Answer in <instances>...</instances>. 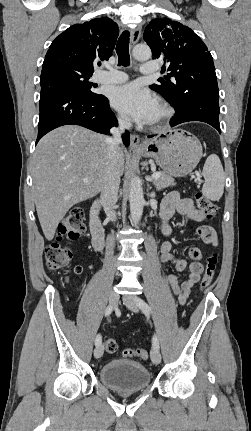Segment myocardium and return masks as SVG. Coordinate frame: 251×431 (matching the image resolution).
Here are the masks:
<instances>
[{
	"instance_id": "myocardium-1",
	"label": "myocardium",
	"mask_w": 251,
	"mask_h": 431,
	"mask_svg": "<svg viewBox=\"0 0 251 431\" xmlns=\"http://www.w3.org/2000/svg\"><path fill=\"white\" fill-rule=\"evenodd\" d=\"M174 110L167 103L161 102L158 105L157 116L149 122L151 130H160L164 128L173 118Z\"/></svg>"
}]
</instances>
